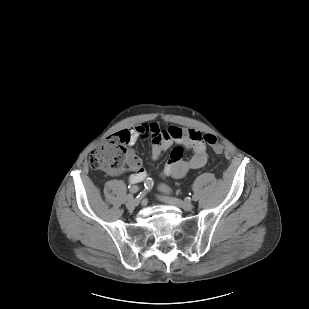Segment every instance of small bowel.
<instances>
[{
	"label": "small bowel",
	"mask_w": 309,
	"mask_h": 309,
	"mask_svg": "<svg viewBox=\"0 0 309 309\" xmlns=\"http://www.w3.org/2000/svg\"><path fill=\"white\" fill-rule=\"evenodd\" d=\"M120 137L127 139V144L132 147L143 137H151L153 140L152 158L157 159L162 152L173 148L168 162L162 169L161 175L174 179H179L193 169L203 167L207 162L206 144L203 141V135L195 129H185L178 125H170L162 129L157 122L142 123L134 129H124L117 133ZM184 149L192 151V156L188 159L183 157ZM127 170L132 171L129 180L141 182L146 176V170L143 167L141 159L129 149L126 155ZM124 171L113 173L115 176L123 174Z\"/></svg>",
	"instance_id": "c3829d8e"
}]
</instances>
